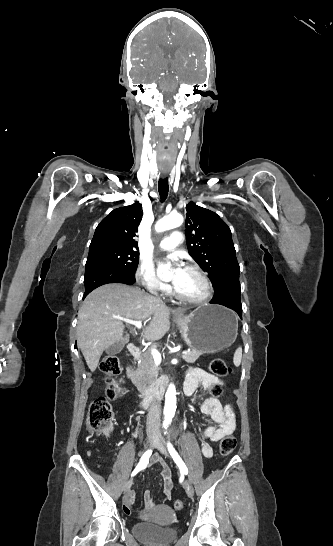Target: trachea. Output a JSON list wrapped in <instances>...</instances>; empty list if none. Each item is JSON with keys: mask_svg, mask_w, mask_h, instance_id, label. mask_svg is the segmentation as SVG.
<instances>
[{"mask_svg": "<svg viewBox=\"0 0 333 546\" xmlns=\"http://www.w3.org/2000/svg\"><path fill=\"white\" fill-rule=\"evenodd\" d=\"M158 191L161 202L165 201L169 191L168 178H161L158 183Z\"/></svg>", "mask_w": 333, "mask_h": 546, "instance_id": "1", "label": "trachea"}]
</instances>
